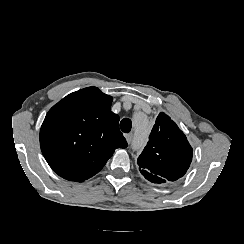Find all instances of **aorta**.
Returning a JSON list of instances; mask_svg holds the SVG:
<instances>
[{"mask_svg": "<svg viewBox=\"0 0 244 244\" xmlns=\"http://www.w3.org/2000/svg\"><path fill=\"white\" fill-rule=\"evenodd\" d=\"M135 135L132 142L134 149L141 148L147 141L149 134L148 120L146 115L137 113L134 115Z\"/></svg>", "mask_w": 244, "mask_h": 244, "instance_id": "1", "label": "aorta"}]
</instances>
